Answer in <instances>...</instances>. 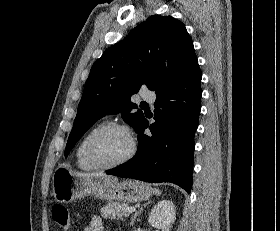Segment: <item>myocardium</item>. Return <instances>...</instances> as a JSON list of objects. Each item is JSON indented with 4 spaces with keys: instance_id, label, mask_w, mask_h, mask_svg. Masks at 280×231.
Returning <instances> with one entry per match:
<instances>
[{
    "instance_id": "myocardium-1",
    "label": "myocardium",
    "mask_w": 280,
    "mask_h": 231,
    "mask_svg": "<svg viewBox=\"0 0 280 231\" xmlns=\"http://www.w3.org/2000/svg\"><path fill=\"white\" fill-rule=\"evenodd\" d=\"M111 130H119L127 136L128 143H129L128 149L120 159H118L112 163H109V164H100L93 158L92 148H93L95 142L102 135H104L105 133H107ZM134 153H135V143H134L132 137L130 136L128 128L125 125L115 123V122L105 124L104 126L99 128L94 134H92L91 137L88 139L86 146H85V150H84V156H85V159L87 160V162L94 168L100 169V170H106V169L124 165L130 159H132V157L134 156Z\"/></svg>"
}]
</instances>
